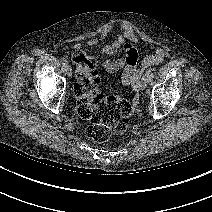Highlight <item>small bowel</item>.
Segmentation results:
<instances>
[{
    "instance_id": "small-bowel-1",
    "label": "small bowel",
    "mask_w": 212,
    "mask_h": 212,
    "mask_svg": "<svg viewBox=\"0 0 212 212\" xmlns=\"http://www.w3.org/2000/svg\"><path fill=\"white\" fill-rule=\"evenodd\" d=\"M115 27V24L105 25L97 37H92L85 42L74 43L71 47L74 53L82 51L86 47H94L100 44ZM138 39L128 25H122L117 39L103 47V53L113 56L116 53L120 57L116 60L107 59L103 62L104 68L109 72L123 70V78L129 80V84L137 86L140 83L142 73L145 69L159 64L167 55V49L159 48L153 54L139 58L135 47Z\"/></svg>"
}]
</instances>
